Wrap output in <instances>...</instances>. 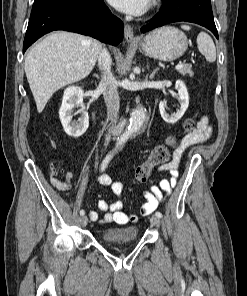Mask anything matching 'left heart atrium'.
I'll return each mask as SVG.
<instances>
[{
    "label": "left heart atrium",
    "instance_id": "1",
    "mask_svg": "<svg viewBox=\"0 0 247 296\" xmlns=\"http://www.w3.org/2000/svg\"><path fill=\"white\" fill-rule=\"evenodd\" d=\"M108 2L121 12L138 16L148 9L150 0H108Z\"/></svg>",
    "mask_w": 247,
    "mask_h": 296
}]
</instances>
